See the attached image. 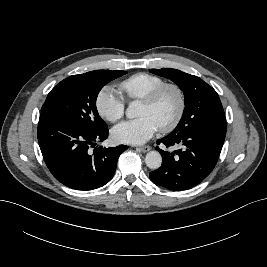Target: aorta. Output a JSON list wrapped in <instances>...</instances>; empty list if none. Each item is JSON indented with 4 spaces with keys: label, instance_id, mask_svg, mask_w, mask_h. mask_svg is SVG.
<instances>
[{
    "label": "aorta",
    "instance_id": "762f6f07",
    "mask_svg": "<svg viewBox=\"0 0 267 267\" xmlns=\"http://www.w3.org/2000/svg\"><path fill=\"white\" fill-rule=\"evenodd\" d=\"M139 106L138 101H133L129 104L127 110H126V116L128 118H135L138 115L137 109ZM145 163L148 168L156 170L158 169L162 164V157L161 154L157 151H150L147 153L145 157Z\"/></svg>",
    "mask_w": 267,
    "mask_h": 267
}]
</instances>
